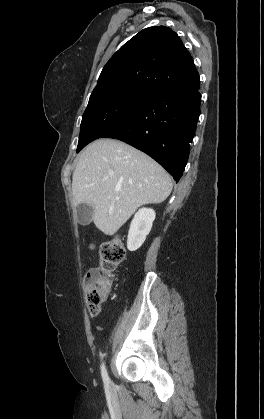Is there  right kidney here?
<instances>
[{
    "label": "right kidney",
    "mask_w": 264,
    "mask_h": 419,
    "mask_svg": "<svg viewBox=\"0 0 264 419\" xmlns=\"http://www.w3.org/2000/svg\"><path fill=\"white\" fill-rule=\"evenodd\" d=\"M155 211L151 208H141L135 214L128 233L127 248L136 251L144 243L155 219Z\"/></svg>",
    "instance_id": "right-kidney-1"
}]
</instances>
